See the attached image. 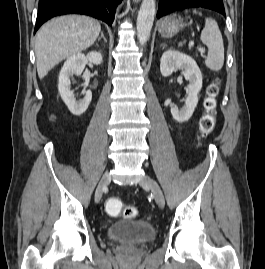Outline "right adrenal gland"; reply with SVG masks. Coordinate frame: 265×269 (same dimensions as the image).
Returning a JSON list of instances; mask_svg holds the SVG:
<instances>
[{
  "instance_id": "right-adrenal-gland-1",
  "label": "right adrenal gland",
  "mask_w": 265,
  "mask_h": 269,
  "mask_svg": "<svg viewBox=\"0 0 265 269\" xmlns=\"http://www.w3.org/2000/svg\"><path fill=\"white\" fill-rule=\"evenodd\" d=\"M101 39H103L104 42L107 43V39L105 38L103 31L101 32V36L98 38V42H99Z\"/></svg>"
}]
</instances>
